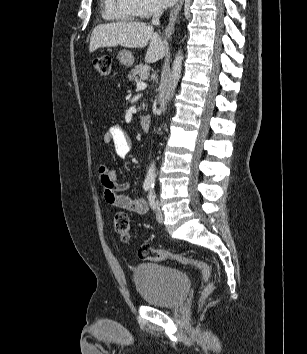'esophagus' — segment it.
Wrapping results in <instances>:
<instances>
[{
  "label": "esophagus",
  "mask_w": 307,
  "mask_h": 354,
  "mask_svg": "<svg viewBox=\"0 0 307 354\" xmlns=\"http://www.w3.org/2000/svg\"><path fill=\"white\" fill-rule=\"evenodd\" d=\"M183 3L184 0H179L177 5L172 9L170 13L169 22L164 31L166 37H170L172 35L174 31L175 21L179 15L180 10L182 9Z\"/></svg>",
  "instance_id": "34e87169"
}]
</instances>
